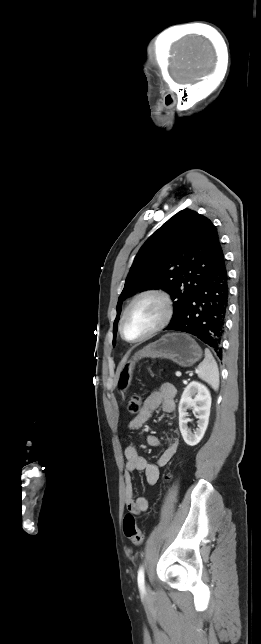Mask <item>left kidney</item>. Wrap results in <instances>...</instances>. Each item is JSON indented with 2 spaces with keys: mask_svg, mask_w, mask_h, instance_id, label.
<instances>
[{
  "mask_svg": "<svg viewBox=\"0 0 261 644\" xmlns=\"http://www.w3.org/2000/svg\"><path fill=\"white\" fill-rule=\"evenodd\" d=\"M190 407L198 414L196 416L198 428L193 433L187 426L189 422L187 409ZM210 408L211 395L208 388L199 382H190L182 393L178 407L179 428L187 445L195 446L203 438L209 422Z\"/></svg>",
  "mask_w": 261,
  "mask_h": 644,
  "instance_id": "left-kidney-1",
  "label": "left kidney"
}]
</instances>
